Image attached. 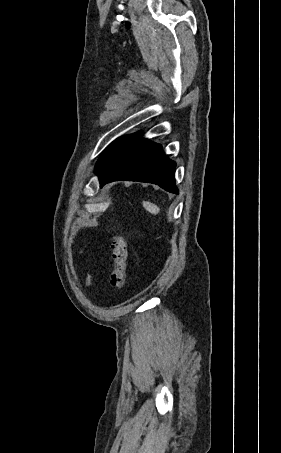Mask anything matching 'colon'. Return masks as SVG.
Instances as JSON below:
<instances>
[{"mask_svg": "<svg viewBox=\"0 0 281 453\" xmlns=\"http://www.w3.org/2000/svg\"><path fill=\"white\" fill-rule=\"evenodd\" d=\"M112 270L110 273V287L119 292L125 288L128 264V250L125 239L122 236H114L111 242Z\"/></svg>", "mask_w": 281, "mask_h": 453, "instance_id": "colon-1", "label": "colon"}]
</instances>
